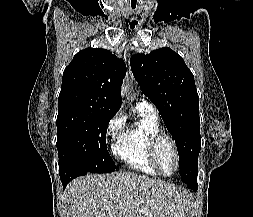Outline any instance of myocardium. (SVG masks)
Here are the masks:
<instances>
[{"label":"myocardium","mask_w":253,"mask_h":217,"mask_svg":"<svg viewBox=\"0 0 253 217\" xmlns=\"http://www.w3.org/2000/svg\"><path fill=\"white\" fill-rule=\"evenodd\" d=\"M163 141H167L171 145L175 155L176 167L174 172L170 174H167L163 171L158 159V147ZM147 150L152 163L154 164L160 175L170 177L178 172L180 167V153L175 140L170 135L163 132H159L153 135L148 141Z\"/></svg>","instance_id":"obj_1"}]
</instances>
